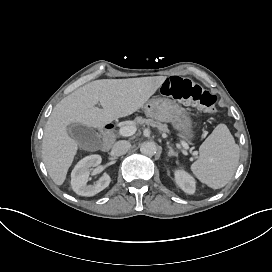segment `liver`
I'll return each mask as SVG.
<instances>
[{
	"label": "liver",
	"instance_id": "1",
	"mask_svg": "<svg viewBox=\"0 0 272 272\" xmlns=\"http://www.w3.org/2000/svg\"><path fill=\"white\" fill-rule=\"evenodd\" d=\"M167 76L102 79L91 82L62 99L47 120L42 158L53 182L62 186L79 150L68 126L81 123L100 129L140 110L162 86ZM100 102L103 109L95 107Z\"/></svg>",
	"mask_w": 272,
	"mask_h": 272
}]
</instances>
